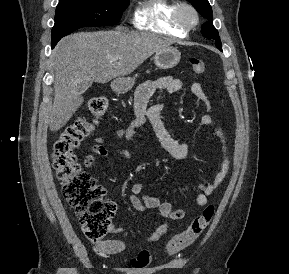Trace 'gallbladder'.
<instances>
[{
    "label": "gallbladder",
    "mask_w": 289,
    "mask_h": 274,
    "mask_svg": "<svg viewBox=\"0 0 289 274\" xmlns=\"http://www.w3.org/2000/svg\"><path fill=\"white\" fill-rule=\"evenodd\" d=\"M90 86H91V83H82V84L79 86V90H80V91H85V90H87Z\"/></svg>",
    "instance_id": "gallbladder-1"
}]
</instances>
